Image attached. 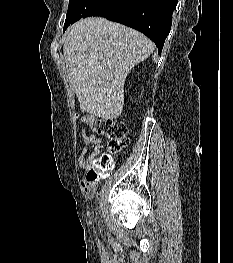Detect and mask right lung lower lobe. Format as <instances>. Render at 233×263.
Here are the masks:
<instances>
[{"label": "right lung lower lobe", "instance_id": "1", "mask_svg": "<svg viewBox=\"0 0 233 263\" xmlns=\"http://www.w3.org/2000/svg\"><path fill=\"white\" fill-rule=\"evenodd\" d=\"M178 0H122L109 15L111 21L132 27L149 37L161 54L170 32L172 14Z\"/></svg>", "mask_w": 233, "mask_h": 263}]
</instances>
